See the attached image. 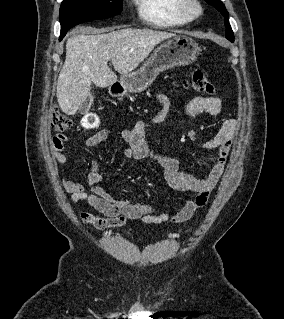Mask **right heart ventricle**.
<instances>
[{
    "label": "right heart ventricle",
    "instance_id": "obj_1",
    "mask_svg": "<svg viewBox=\"0 0 284 319\" xmlns=\"http://www.w3.org/2000/svg\"><path fill=\"white\" fill-rule=\"evenodd\" d=\"M140 19L157 28H171L188 24L180 9V0H134Z\"/></svg>",
    "mask_w": 284,
    "mask_h": 319
}]
</instances>
